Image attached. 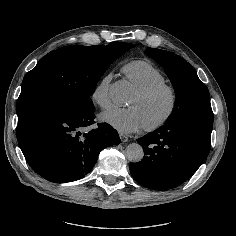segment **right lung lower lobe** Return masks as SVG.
<instances>
[{
	"mask_svg": "<svg viewBox=\"0 0 236 236\" xmlns=\"http://www.w3.org/2000/svg\"><path fill=\"white\" fill-rule=\"evenodd\" d=\"M94 118V108L49 109L18 123L17 139L28 164L51 182L83 178L102 149L121 142L117 131L107 123L91 129Z\"/></svg>",
	"mask_w": 236,
	"mask_h": 236,
	"instance_id": "right-lung-lower-lobe-1",
	"label": "right lung lower lobe"
}]
</instances>
